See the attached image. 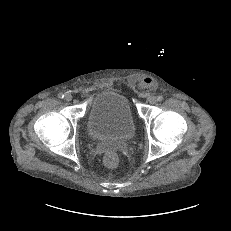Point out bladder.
Masks as SVG:
<instances>
[{
	"instance_id": "bladder-1",
	"label": "bladder",
	"mask_w": 231,
	"mask_h": 231,
	"mask_svg": "<svg viewBox=\"0 0 231 231\" xmlns=\"http://www.w3.org/2000/svg\"><path fill=\"white\" fill-rule=\"evenodd\" d=\"M88 139L92 142L132 140L137 124L127 97L116 90L99 92L93 99L84 120Z\"/></svg>"
}]
</instances>
